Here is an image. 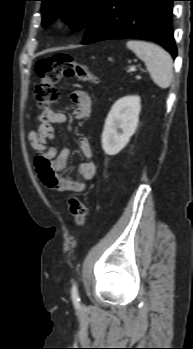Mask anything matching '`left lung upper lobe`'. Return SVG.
Instances as JSON below:
<instances>
[{
    "label": "left lung upper lobe",
    "instance_id": "1",
    "mask_svg": "<svg viewBox=\"0 0 193 349\" xmlns=\"http://www.w3.org/2000/svg\"><path fill=\"white\" fill-rule=\"evenodd\" d=\"M42 1V24L58 15L71 18L72 29L88 27L96 18L106 0H40Z\"/></svg>",
    "mask_w": 193,
    "mask_h": 349
}]
</instances>
